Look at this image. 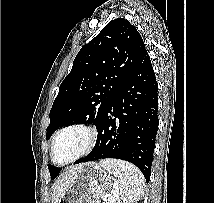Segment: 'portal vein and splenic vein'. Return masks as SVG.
<instances>
[{
  "instance_id": "18ae733b",
  "label": "portal vein and splenic vein",
  "mask_w": 214,
  "mask_h": 203,
  "mask_svg": "<svg viewBox=\"0 0 214 203\" xmlns=\"http://www.w3.org/2000/svg\"><path fill=\"white\" fill-rule=\"evenodd\" d=\"M110 196V195H109ZM108 200H114L113 196L108 197Z\"/></svg>"
}]
</instances>
